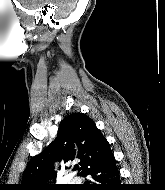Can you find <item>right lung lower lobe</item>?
Wrapping results in <instances>:
<instances>
[{"label":"right lung lower lobe","mask_w":165,"mask_h":190,"mask_svg":"<svg viewBox=\"0 0 165 190\" xmlns=\"http://www.w3.org/2000/svg\"><path fill=\"white\" fill-rule=\"evenodd\" d=\"M81 176L88 177L83 188L85 190H125V185L120 184L119 171L112 154Z\"/></svg>","instance_id":"right-lung-lower-lobe-1"}]
</instances>
